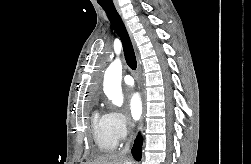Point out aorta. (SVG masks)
<instances>
[{"label":"aorta","instance_id":"1","mask_svg":"<svg viewBox=\"0 0 251 164\" xmlns=\"http://www.w3.org/2000/svg\"><path fill=\"white\" fill-rule=\"evenodd\" d=\"M122 63L120 59H115L107 68L104 75V93L115 106H122L123 95L121 89Z\"/></svg>","mask_w":251,"mask_h":164}]
</instances>
